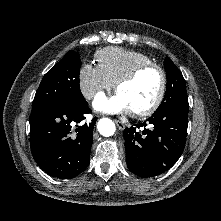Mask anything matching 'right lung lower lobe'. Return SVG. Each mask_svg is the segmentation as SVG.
Instances as JSON below:
<instances>
[{
    "label": "right lung lower lobe",
    "mask_w": 221,
    "mask_h": 221,
    "mask_svg": "<svg viewBox=\"0 0 221 221\" xmlns=\"http://www.w3.org/2000/svg\"><path fill=\"white\" fill-rule=\"evenodd\" d=\"M88 103L56 104L30 120V147L34 160L47 174L71 179L90 162L97 118L78 125L90 113Z\"/></svg>",
    "instance_id": "right-lung-lower-lobe-1"
}]
</instances>
